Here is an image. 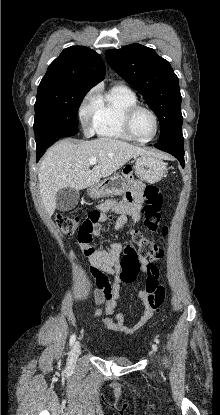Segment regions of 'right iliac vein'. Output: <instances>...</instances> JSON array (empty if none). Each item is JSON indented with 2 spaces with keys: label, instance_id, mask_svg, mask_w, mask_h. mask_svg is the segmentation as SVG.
I'll use <instances>...</instances> for the list:
<instances>
[{
  "label": "right iliac vein",
  "instance_id": "1",
  "mask_svg": "<svg viewBox=\"0 0 220 415\" xmlns=\"http://www.w3.org/2000/svg\"><path fill=\"white\" fill-rule=\"evenodd\" d=\"M81 352V345L79 341H76L72 347L71 353H70V360L71 362H75Z\"/></svg>",
  "mask_w": 220,
  "mask_h": 415
}]
</instances>
